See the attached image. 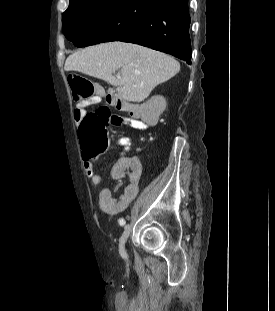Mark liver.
<instances>
[{"instance_id":"1","label":"liver","mask_w":275,"mask_h":311,"mask_svg":"<svg viewBox=\"0 0 275 311\" xmlns=\"http://www.w3.org/2000/svg\"><path fill=\"white\" fill-rule=\"evenodd\" d=\"M64 69L104 80L116 87L124 100L141 102L158 84L176 75L180 64L169 55L141 45L109 42L70 55ZM116 71L120 78L113 75Z\"/></svg>"}]
</instances>
